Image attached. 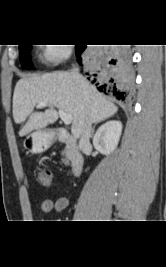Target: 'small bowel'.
Instances as JSON below:
<instances>
[{
    "mask_svg": "<svg viewBox=\"0 0 166 267\" xmlns=\"http://www.w3.org/2000/svg\"><path fill=\"white\" fill-rule=\"evenodd\" d=\"M68 206L67 197H59L56 200L45 199L41 201L39 210L42 213L61 212Z\"/></svg>",
    "mask_w": 166,
    "mask_h": 267,
    "instance_id": "c3829d8e",
    "label": "small bowel"
}]
</instances>
